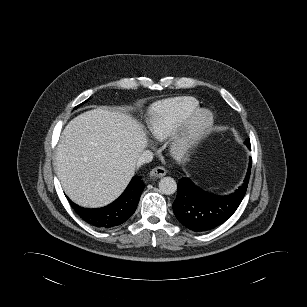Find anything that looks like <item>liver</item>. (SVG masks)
Returning a JSON list of instances; mask_svg holds the SVG:
<instances>
[{
    "mask_svg": "<svg viewBox=\"0 0 307 307\" xmlns=\"http://www.w3.org/2000/svg\"><path fill=\"white\" fill-rule=\"evenodd\" d=\"M147 146L143 127L130 116L97 108L71 120L56 152V168L66 195L83 207L114 201L135 173Z\"/></svg>",
    "mask_w": 307,
    "mask_h": 307,
    "instance_id": "liver-1",
    "label": "liver"
}]
</instances>
